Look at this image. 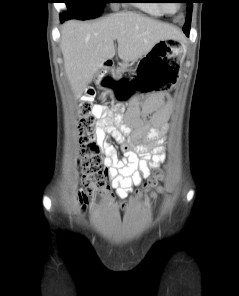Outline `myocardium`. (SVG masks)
<instances>
[{"label":"myocardium","mask_w":239,"mask_h":296,"mask_svg":"<svg viewBox=\"0 0 239 296\" xmlns=\"http://www.w3.org/2000/svg\"><path fill=\"white\" fill-rule=\"evenodd\" d=\"M160 6H161L163 12H166V13H174V11H172L171 9H169L168 4L161 2L160 3ZM179 6H180V4H177L176 10L179 8Z\"/></svg>","instance_id":"1"}]
</instances>
